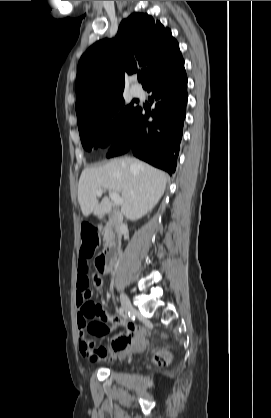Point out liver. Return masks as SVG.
Listing matches in <instances>:
<instances>
[{
    "instance_id": "6515ba94",
    "label": "liver",
    "mask_w": 271,
    "mask_h": 418,
    "mask_svg": "<svg viewBox=\"0 0 271 418\" xmlns=\"http://www.w3.org/2000/svg\"><path fill=\"white\" fill-rule=\"evenodd\" d=\"M167 174L140 160L118 158L100 166L82 171L78 184V202L85 217L91 213L104 215L111 212L112 203L104 197L99 203L95 193L105 189L120 193L124 202L121 213L136 221L150 212L164 194Z\"/></svg>"
}]
</instances>
